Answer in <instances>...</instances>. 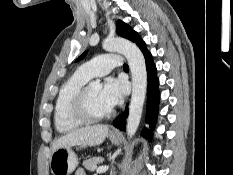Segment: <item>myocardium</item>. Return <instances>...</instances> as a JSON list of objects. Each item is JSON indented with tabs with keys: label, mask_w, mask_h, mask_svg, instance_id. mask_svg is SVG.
<instances>
[{
	"label": "myocardium",
	"mask_w": 233,
	"mask_h": 175,
	"mask_svg": "<svg viewBox=\"0 0 233 175\" xmlns=\"http://www.w3.org/2000/svg\"><path fill=\"white\" fill-rule=\"evenodd\" d=\"M88 88L86 86L82 87L74 96L70 106L72 116L84 123H96L111 117L113 114L112 109L100 115L91 111L88 101Z\"/></svg>",
	"instance_id": "obj_1"
}]
</instances>
